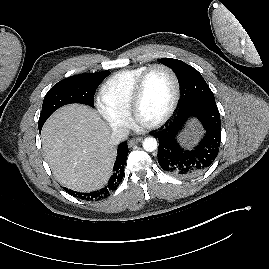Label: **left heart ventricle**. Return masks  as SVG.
I'll use <instances>...</instances> for the list:
<instances>
[{
	"label": "left heart ventricle",
	"instance_id": "left-heart-ventricle-1",
	"mask_svg": "<svg viewBox=\"0 0 269 269\" xmlns=\"http://www.w3.org/2000/svg\"><path fill=\"white\" fill-rule=\"evenodd\" d=\"M174 96L170 74L162 69L152 71L146 79L139 106V117L145 122L159 119L169 108Z\"/></svg>",
	"mask_w": 269,
	"mask_h": 269
}]
</instances>
